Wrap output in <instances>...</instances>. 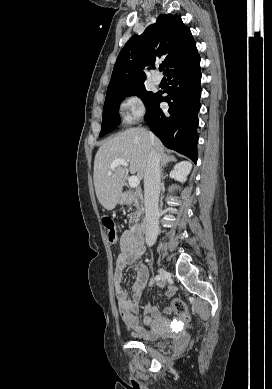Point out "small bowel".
I'll return each mask as SVG.
<instances>
[{
    "instance_id": "c3829d8e",
    "label": "small bowel",
    "mask_w": 272,
    "mask_h": 389,
    "mask_svg": "<svg viewBox=\"0 0 272 389\" xmlns=\"http://www.w3.org/2000/svg\"><path fill=\"white\" fill-rule=\"evenodd\" d=\"M120 253L117 256L114 272V290L118 302L119 313L125 326L132 330L133 336L149 340L154 335L152 331L146 327L149 326L155 319L159 318V310L147 304L144 307V318L140 322L136 314L139 312V303L142 289L149 280V270L142 261L144 247L136 246L129 240L128 232H124L119 241ZM134 265L137 272V277L132 285L133 296L128 297L126 291L122 287L123 272L127 265ZM166 295L171 296L173 289L169 287ZM167 313L171 312L170 308L166 309Z\"/></svg>"
}]
</instances>
